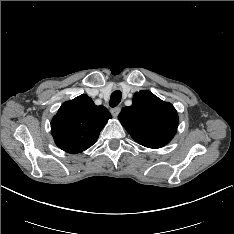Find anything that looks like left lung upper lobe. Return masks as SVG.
Segmentation results:
<instances>
[{"instance_id": "left-lung-upper-lobe-1", "label": "left lung upper lobe", "mask_w": 234, "mask_h": 234, "mask_svg": "<svg viewBox=\"0 0 234 234\" xmlns=\"http://www.w3.org/2000/svg\"><path fill=\"white\" fill-rule=\"evenodd\" d=\"M118 119L137 143L154 149L168 144L178 126L174 106L146 90L134 94L133 104L123 108Z\"/></svg>"}]
</instances>
